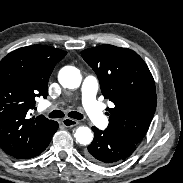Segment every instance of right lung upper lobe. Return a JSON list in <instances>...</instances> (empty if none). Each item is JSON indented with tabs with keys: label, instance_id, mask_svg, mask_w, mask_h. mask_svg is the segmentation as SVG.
Instances as JSON below:
<instances>
[{
	"label": "right lung upper lobe",
	"instance_id": "obj_1",
	"mask_svg": "<svg viewBox=\"0 0 183 183\" xmlns=\"http://www.w3.org/2000/svg\"><path fill=\"white\" fill-rule=\"evenodd\" d=\"M67 52L44 45L17 49L0 61V147L16 159L31 158L55 121L29 117L35 97H47L48 80Z\"/></svg>",
	"mask_w": 183,
	"mask_h": 183
}]
</instances>
